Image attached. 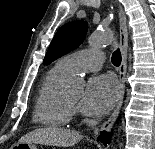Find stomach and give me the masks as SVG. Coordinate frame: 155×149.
Returning a JSON list of instances; mask_svg holds the SVG:
<instances>
[{"instance_id":"obj_1","label":"stomach","mask_w":155,"mask_h":149,"mask_svg":"<svg viewBox=\"0 0 155 149\" xmlns=\"http://www.w3.org/2000/svg\"><path fill=\"white\" fill-rule=\"evenodd\" d=\"M15 149H38L34 143L18 142L13 146Z\"/></svg>"}]
</instances>
